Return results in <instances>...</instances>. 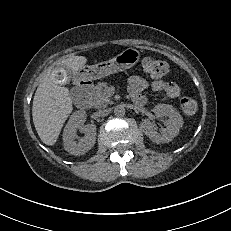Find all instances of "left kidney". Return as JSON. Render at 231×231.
Wrapping results in <instances>:
<instances>
[{
	"instance_id": "obj_1",
	"label": "left kidney",
	"mask_w": 231,
	"mask_h": 231,
	"mask_svg": "<svg viewBox=\"0 0 231 231\" xmlns=\"http://www.w3.org/2000/svg\"><path fill=\"white\" fill-rule=\"evenodd\" d=\"M157 118L167 117L166 128L157 132L154 124L150 120H143L140 124L141 129L154 143H168L179 134L183 126V119L176 109L167 104H157L153 109Z\"/></svg>"
}]
</instances>
